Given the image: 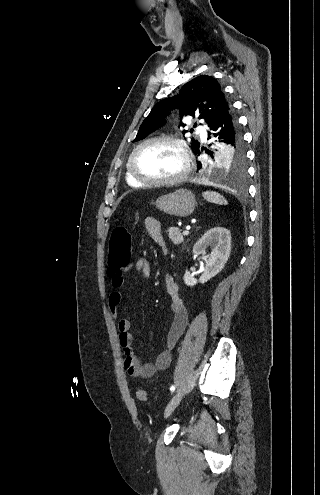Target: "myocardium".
I'll use <instances>...</instances> for the list:
<instances>
[{"instance_id":"obj_1","label":"myocardium","mask_w":320,"mask_h":495,"mask_svg":"<svg viewBox=\"0 0 320 495\" xmlns=\"http://www.w3.org/2000/svg\"><path fill=\"white\" fill-rule=\"evenodd\" d=\"M154 142H168V143H171L178 148V150L180 151L182 158H183V168L178 175H176L172 178H168V179H149V178L143 177L142 175H140L138 173V171L136 170V167H135V158H136L137 153L146 145L154 143ZM191 166H192L191 156H190V152H189V149H188L186 143L184 141H182L181 139L174 137V136H170V135L154 136V137H151V138H148V139L142 141L140 144H138L134 148V150L131 152V154L128 158L129 173L137 182H139L140 184H142L144 186H172V185H176V184L184 181L187 178L188 174L190 173Z\"/></svg>"}]
</instances>
